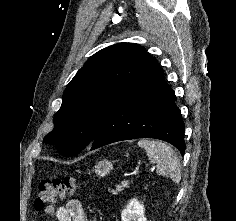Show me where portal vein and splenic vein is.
<instances>
[{
    "label": "portal vein and splenic vein",
    "instance_id": "obj_1",
    "mask_svg": "<svg viewBox=\"0 0 236 221\" xmlns=\"http://www.w3.org/2000/svg\"><path fill=\"white\" fill-rule=\"evenodd\" d=\"M139 173H140L139 170H136V171L134 172L135 175H137V174H139ZM127 184H128L127 181H123V182H122V187L127 186Z\"/></svg>",
    "mask_w": 236,
    "mask_h": 221
}]
</instances>
